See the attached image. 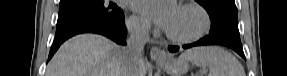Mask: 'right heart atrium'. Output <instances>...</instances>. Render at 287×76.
<instances>
[{
  "label": "right heart atrium",
  "mask_w": 287,
  "mask_h": 76,
  "mask_svg": "<svg viewBox=\"0 0 287 76\" xmlns=\"http://www.w3.org/2000/svg\"><path fill=\"white\" fill-rule=\"evenodd\" d=\"M128 26L134 34L140 36H144L150 31L149 22L146 19L137 15L130 16L128 20Z\"/></svg>",
  "instance_id": "d8ad5b80"
}]
</instances>
